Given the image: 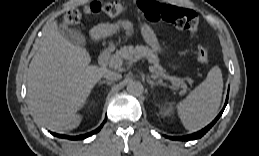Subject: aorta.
Returning <instances> with one entry per match:
<instances>
[{"label": "aorta", "mask_w": 259, "mask_h": 156, "mask_svg": "<svg viewBox=\"0 0 259 156\" xmlns=\"http://www.w3.org/2000/svg\"><path fill=\"white\" fill-rule=\"evenodd\" d=\"M143 85L139 81H131L127 85V91L131 95L139 96L143 93Z\"/></svg>", "instance_id": "obj_1"}]
</instances>
